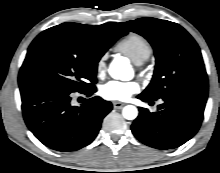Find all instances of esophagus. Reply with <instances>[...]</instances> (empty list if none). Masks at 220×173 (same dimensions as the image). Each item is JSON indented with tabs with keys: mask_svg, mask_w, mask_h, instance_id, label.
Masks as SVG:
<instances>
[{
	"mask_svg": "<svg viewBox=\"0 0 220 173\" xmlns=\"http://www.w3.org/2000/svg\"><path fill=\"white\" fill-rule=\"evenodd\" d=\"M124 105H125V104L122 103V102H118V101H114V102H113V107H114L115 109H120V108H122Z\"/></svg>",
	"mask_w": 220,
	"mask_h": 173,
	"instance_id": "34e87169",
	"label": "esophagus"
}]
</instances>
